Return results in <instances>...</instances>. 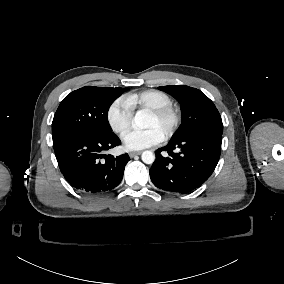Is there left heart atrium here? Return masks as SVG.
<instances>
[{"label": "left heart atrium", "instance_id": "left-heart-atrium-1", "mask_svg": "<svg viewBox=\"0 0 284 284\" xmlns=\"http://www.w3.org/2000/svg\"><path fill=\"white\" fill-rule=\"evenodd\" d=\"M163 136L154 128L144 130L130 129L122 135L123 147L126 150H140L158 145Z\"/></svg>", "mask_w": 284, "mask_h": 284}]
</instances>
